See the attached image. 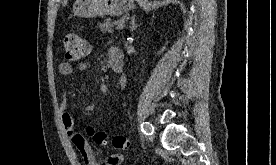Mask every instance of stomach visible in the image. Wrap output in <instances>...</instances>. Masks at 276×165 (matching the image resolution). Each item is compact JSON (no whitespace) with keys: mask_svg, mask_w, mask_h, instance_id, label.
I'll use <instances>...</instances> for the list:
<instances>
[{"mask_svg":"<svg viewBox=\"0 0 276 165\" xmlns=\"http://www.w3.org/2000/svg\"><path fill=\"white\" fill-rule=\"evenodd\" d=\"M134 0H76L73 5L75 16L92 18L95 16L121 15L133 8Z\"/></svg>","mask_w":276,"mask_h":165,"instance_id":"obj_1","label":"stomach"}]
</instances>
